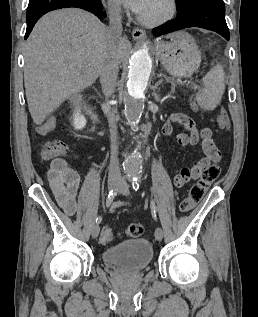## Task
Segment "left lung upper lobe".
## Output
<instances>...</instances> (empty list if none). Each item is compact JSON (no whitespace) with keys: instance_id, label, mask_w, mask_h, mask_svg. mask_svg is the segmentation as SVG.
<instances>
[{"instance_id":"left-lung-upper-lobe-1","label":"left lung upper lobe","mask_w":258,"mask_h":317,"mask_svg":"<svg viewBox=\"0 0 258 317\" xmlns=\"http://www.w3.org/2000/svg\"><path fill=\"white\" fill-rule=\"evenodd\" d=\"M194 0H176L177 3V11L179 14H181L185 8Z\"/></svg>"}]
</instances>
